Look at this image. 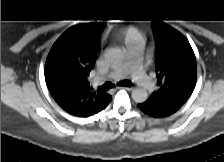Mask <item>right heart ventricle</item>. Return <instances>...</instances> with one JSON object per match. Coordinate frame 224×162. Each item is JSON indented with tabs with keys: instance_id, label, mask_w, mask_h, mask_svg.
I'll return each instance as SVG.
<instances>
[{
	"instance_id": "obj_1",
	"label": "right heart ventricle",
	"mask_w": 224,
	"mask_h": 162,
	"mask_svg": "<svg viewBox=\"0 0 224 162\" xmlns=\"http://www.w3.org/2000/svg\"><path fill=\"white\" fill-rule=\"evenodd\" d=\"M140 40L139 36L134 31H128L125 37V41L128 43H134Z\"/></svg>"
}]
</instances>
